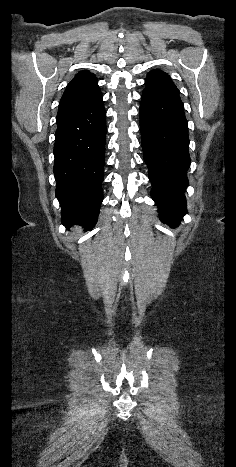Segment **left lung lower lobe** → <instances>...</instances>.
Instances as JSON below:
<instances>
[{"label":"left lung lower lobe","mask_w":236,"mask_h":467,"mask_svg":"<svg viewBox=\"0 0 236 467\" xmlns=\"http://www.w3.org/2000/svg\"><path fill=\"white\" fill-rule=\"evenodd\" d=\"M140 130L152 198L161 220L175 226L187 213L184 190L190 163L188 122L180 96L144 89Z\"/></svg>","instance_id":"1"}]
</instances>
